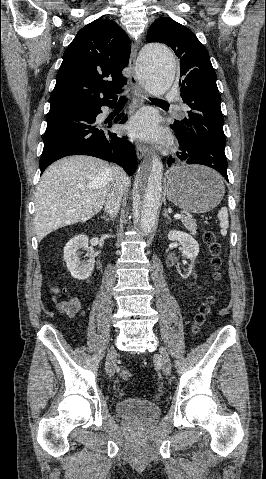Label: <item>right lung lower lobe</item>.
I'll list each match as a JSON object with an SVG mask.
<instances>
[{"instance_id":"right-lung-lower-lobe-1","label":"right lung lower lobe","mask_w":266,"mask_h":479,"mask_svg":"<svg viewBox=\"0 0 266 479\" xmlns=\"http://www.w3.org/2000/svg\"><path fill=\"white\" fill-rule=\"evenodd\" d=\"M116 98L102 103L79 107H59L50 109L47 115V128L43 136L44 148L40 158L41 173L56 160L69 155H90L119 164L131 176L137 168L134 145L124 137H118L105 128L109 125L97 124L96 116L101 106L113 107ZM120 114L115 123L121 119ZM124 117L120 123L125 122Z\"/></svg>"}]
</instances>
